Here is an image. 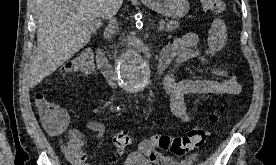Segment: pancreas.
<instances>
[{
    "instance_id": "1",
    "label": "pancreas",
    "mask_w": 276,
    "mask_h": 165,
    "mask_svg": "<svg viewBox=\"0 0 276 165\" xmlns=\"http://www.w3.org/2000/svg\"><path fill=\"white\" fill-rule=\"evenodd\" d=\"M179 27L178 21H170L166 24V31H172Z\"/></svg>"
}]
</instances>
